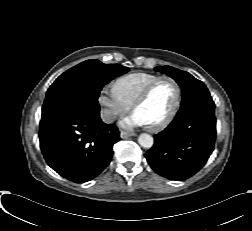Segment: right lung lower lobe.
<instances>
[{"label": "right lung lower lobe", "mask_w": 252, "mask_h": 231, "mask_svg": "<svg viewBox=\"0 0 252 231\" xmlns=\"http://www.w3.org/2000/svg\"><path fill=\"white\" fill-rule=\"evenodd\" d=\"M40 147L47 164L76 183L87 182L109 165L118 128L105 124L99 111L74 106L42 114Z\"/></svg>", "instance_id": "98d812e1"}]
</instances>
